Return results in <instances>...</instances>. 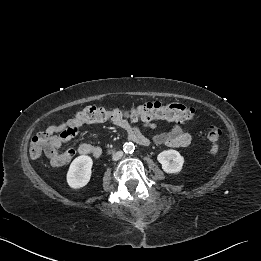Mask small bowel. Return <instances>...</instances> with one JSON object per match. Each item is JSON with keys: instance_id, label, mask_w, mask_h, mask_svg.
<instances>
[{"instance_id": "c3829d8e", "label": "small bowel", "mask_w": 261, "mask_h": 261, "mask_svg": "<svg viewBox=\"0 0 261 261\" xmlns=\"http://www.w3.org/2000/svg\"><path fill=\"white\" fill-rule=\"evenodd\" d=\"M112 123L126 131L128 136L134 133H140L127 119H119L117 121H112ZM82 125L83 123L72 118L65 123L51 125L47 128L45 133L48 135V143L44 151L51 165L62 166L72 159L75 154L74 150L68 149L64 152L60 151L64 142L60 139V134L68 128L80 127ZM144 125L148 128L156 127V124L153 122H144ZM152 141L158 145L179 148L188 146L192 141V136L182 123L176 122L170 131L155 135L152 138ZM77 151L81 155H93L95 157L101 154V148L88 143H82Z\"/></svg>"}]
</instances>
